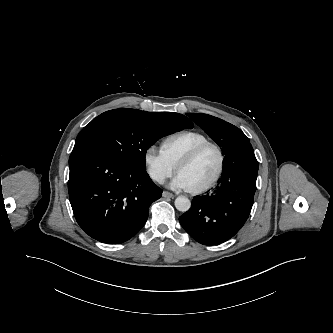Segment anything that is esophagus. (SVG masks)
<instances>
[{
  "label": "esophagus",
  "instance_id": "esophagus-1",
  "mask_svg": "<svg viewBox=\"0 0 333 333\" xmlns=\"http://www.w3.org/2000/svg\"><path fill=\"white\" fill-rule=\"evenodd\" d=\"M162 196L164 198H173V194L168 191H163Z\"/></svg>",
  "mask_w": 333,
  "mask_h": 333
}]
</instances>
